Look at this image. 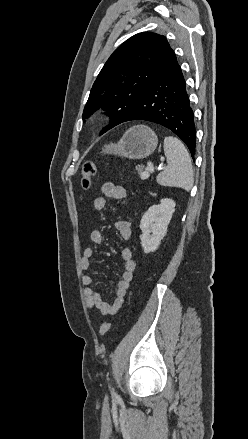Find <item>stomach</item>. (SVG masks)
<instances>
[{
	"mask_svg": "<svg viewBox=\"0 0 248 439\" xmlns=\"http://www.w3.org/2000/svg\"><path fill=\"white\" fill-rule=\"evenodd\" d=\"M157 144V135L151 128L136 125L127 130L118 143L106 146L104 153L129 159H143L154 152Z\"/></svg>",
	"mask_w": 248,
	"mask_h": 439,
	"instance_id": "0dacf381",
	"label": "stomach"
}]
</instances>
